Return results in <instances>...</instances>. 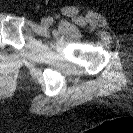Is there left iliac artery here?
<instances>
[{
    "label": "left iliac artery",
    "instance_id": "left-iliac-artery-1",
    "mask_svg": "<svg viewBox=\"0 0 133 133\" xmlns=\"http://www.w3.org/2000/svg\"><path fill=\"white\" fill-rule=\"evenodd\" d=\"M50 24L53 23V18H49Z\"/></svg>",
    "mask_w": 133,
    "mask_h": 133
}]
</instances>
